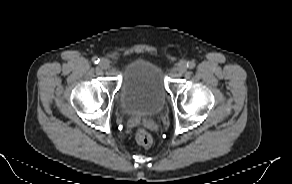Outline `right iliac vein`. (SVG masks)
<instances>
[{"mask_svg": "<svg viewBox=\"0 0 292 184\" xmlns=\"http://www.w3.org/2000/svg\"><path fill=\"white\" fill-rule=\"evenodd\" d=\"M109 65H110V63H109V61H108L107 59L103 58V59L100 60L99 66H100L102 69H107V68H109Z\"/></svg>", "mask_w": 292, "mask_h": 184, "instance_id": "63e3f726", "label": "right iliac vein"}]
</instances>
